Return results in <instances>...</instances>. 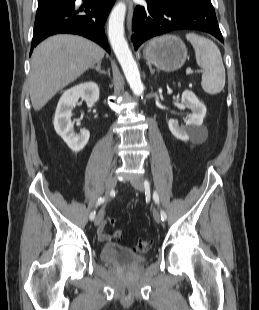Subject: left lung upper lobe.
Segmentation results:
<instances>
[{
    "mask_svg": "<svg viewBox=\"0 0 259 310\" xmlns=\"http://www.w3.org/2000/svg\"><path fill=\"white\" fill-rule=\"evenodd\" d=\"M171 2H184V1H188V0H169Z\"/></svg>",
    "mask_w": 259,
    "mask_h": 310,
    "instance_id": "5c2ea615",
    "label": "left lung upper lobe"
}]
</instances>
